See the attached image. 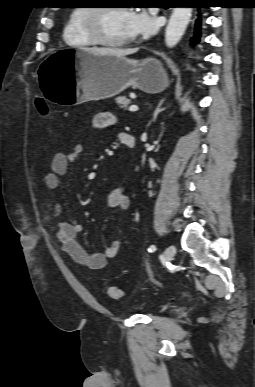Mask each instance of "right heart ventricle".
<instances>
[{
	"label": "right heart ventricle",
	"instance_id": "e07e8e85",
	"mask_svg": "<svg viewBox=\"0 0 255 387\" xmlns=\"http://www.w3.org/2000/svg\"><path fill=\"white\" fill-rule=\"evenodd\" d=\"M87 9V6H76L71 10L63 29V40L68 46L85 48L95 45L84 26Z\"/></svg>",
	"mask_w": 255,
	"mask_h": 387
}]
</instances>
